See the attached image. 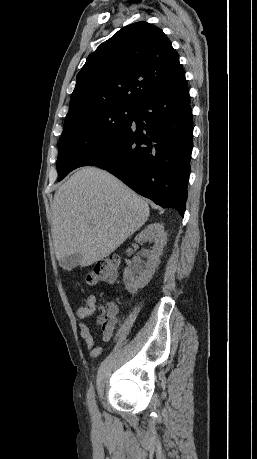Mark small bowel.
Segmentation results:
<instances>
[{
    "mask_svg": "<svg viewBox=\"0 0 257 459\" xmlns=\"http://www.w3.org/2000/svg\"><path fill=\"white\" fill-rule=\"evenodd\" d=\"M97 298L94 294H90L84 305L80 306L76 311V317L79 320V332L84 340L86 348L89 350L90 358H97L104 351V346H95L94 337L84 322L89 319L94 313V305ZM118 306L115 302H110L107 305V312L102 313L97 317L96 322L100 325L102 331V339L107 342L113 335L115 325L117 323Z\"/></svg>",
    "mask_w": 257,
    "mask_h": 459,
    "instance_id": "1",
    "label": "small bowel"
}]
</instances>
